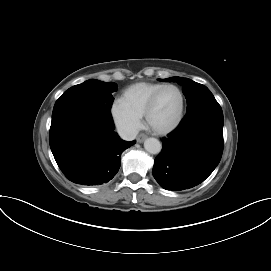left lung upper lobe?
I'll use <instances>...</instances> for the list:
<instances>
[{"label": "left lung upper lobe", "mask_w": 271, "mask_h": 271, "mask_svg": "<svg viewBox=\"0 0 271 271\" xmlns=\"http://www.w3.org/2000/svg\"><path fill=\"white\" fill-rule=\"evenodd\" d=\"M163 82H173L176 81L177 83L183 86L182 90L187 99V112L191 111L198 105L215 102L216 99L214 98L213 94L210 90L197 82H194L187 78L181 77H172L168 79H160Z\"/></svg>", "instance_id": "left-lung-upper-lobe-1"}]
</instances>
